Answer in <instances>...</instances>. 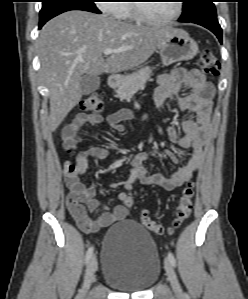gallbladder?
I'll return each instance as SVG.
<instances>
[{"instance_id":"1","label":"gallbladder","mask_w":248,"mask_h":299,"mask_svg":"<svg viewBox=\"0 0 248 299\" xmlns=\"http://www.w3.org/2000/svg\"><path fill=\"white\" fill-rule=\"evenodd\" d=\"M101 83L99 76L85 74L80 81V89L84 95L96 91Z\"/></svg>"}]
</instances>
